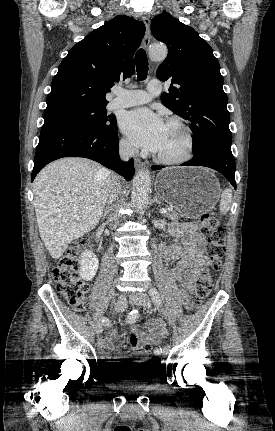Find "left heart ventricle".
Segmentation results:
<instances>
[{
	"label": "left heart ventricle",
	"mask_w": 275,
	"mask_h": 431,
	"mask_svg": "<svg viewBox=\"0 0 275 431\" xmlns=\"http://www.w3.org/2000/svg\"><path fill=\"white\" fill-rule=\"evenodd\" d=\"M184 149L185 138L181 129L175 124H166L164 139L156 153L165 158H176Z\"/></svg>",
	"instance_id": "obj_1"
}]
</instances>
